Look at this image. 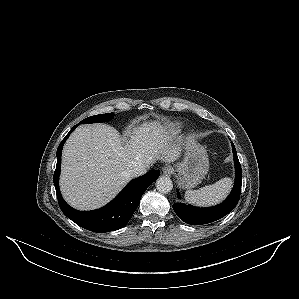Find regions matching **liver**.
I'll return each instance as SVG.
<instances>
[{
	"label": "liver",
	"instance_id": "obj_1",
	"mask_svg": "<svg viewBox=\"0 0 299 299\" xmlns=\"http://www.w3.org/2000/svg\"><path fill=\"white\" fill-rule=\"evenodd\" d=\"M173 137L175 133L165 132L157 122L133 128L129 141L106 124L78 127L62 153L60 188L64 199L79 210L107 204L131 180L130 169L148 167L158 159L177 160L180 144H174Z\"/></svg>",
	"mask_w": 299,
	"mask_h": 299
}]
</instances>
